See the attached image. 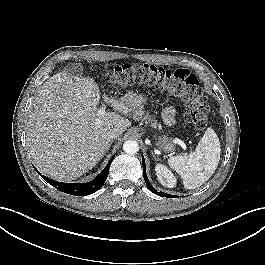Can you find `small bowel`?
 Masks as SVG:
<instances>
[{
	"instance_id": "small-bowel-1",
	"label": "small bowel",
	"mask_w": 265,
	"mask_h": 265,
	"mask_svg": "<svg viewBox=\"0 0 265 265\" xmlns=\"http://www.w3.org/2000/svg\"><path fill=\"white\" fill-rule=\"evenodd\" d=\"M163 117L166 123L172 124L174 122V110L170 107L166 108L163 112Z\"/></svg>"
}]
</instances>
